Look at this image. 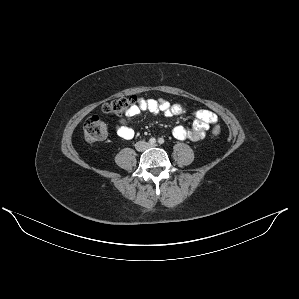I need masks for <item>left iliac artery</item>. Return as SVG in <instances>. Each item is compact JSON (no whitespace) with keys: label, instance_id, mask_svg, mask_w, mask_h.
<instances>
[{"label":"left iliac artery","instance_id":"left-iliac-artery-1","mask_svg":"<svg viewBox=\"0 0 299 299\" xmlns=\"http://www.w3.org/2000/svg\"><path fill=\"white\" fill-rule=\"evenodd\" d=\"M164 142H165V141H164L163 138H159V139H158V143H159V144H163Z\"/></svg>","mask_w":299,"mask_h":299}]
</instances>
